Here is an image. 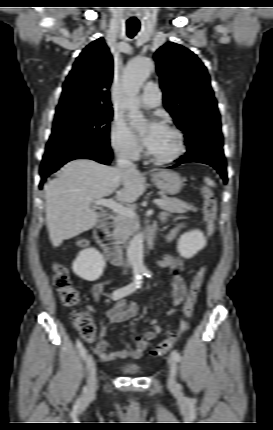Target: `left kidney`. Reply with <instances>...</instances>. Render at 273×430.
I'll list each match as a JSON object with an SVG mask.
<instances>
[{
  "label": "left kidney",
  "instance_id": "1",
  "mask_svg": "<svg viewBox=\"0 0 273 430\" xmlns=\"http://www.w3.org/2000/svg\"><path fill=\"white\" fill-rule=\"evenodd\" d=\"M204 234L198 230H191L182 234L178 240V251L185 258H192L206 246Z\"/></svg>",
  "mask_w": 273,
  "mask_h": 430
}]
</instances>
